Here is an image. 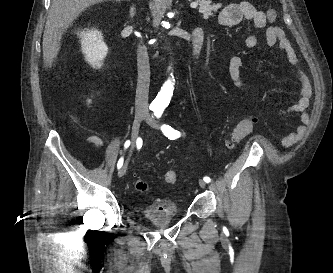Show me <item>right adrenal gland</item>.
Here are the masks:
<instances>
[{
    "label": "right adrenal gland",
    "mask_w": 333,
    "mask_h": 273,
    "mask_svg": "<svg viewBox=\"0 0 333 273\" xmlns=\"http://www.w3.org/2000/svg\"><path fill=\"white\" fill-rule=\"evenodd\" d=\"M116 1H120V0H116ZM122 1H130V0H122ZM135 12H136V8L134 6H131L130 11H129L131 18L135 15Z\"/></svg>",
    "instance_id": "2a0ac1e0"
}]
</instances>
